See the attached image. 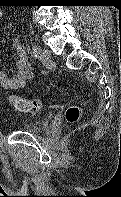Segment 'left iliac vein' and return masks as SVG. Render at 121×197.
Wrapping results in <instances>:
<instances>
[{
    "instance_id": "4c4485c4",
    "label": "left iliac vein",
    "mask_w": 121,
    "mask_h": 197,
    "mask_svg": "<svg viewBox=\"0 0 121 197\" xmlns=\"http://www.w3.org/2000/svg\"><path fill=\"white\" fill-rule=\"evenodd\" d=\"M39 59L43 65H49L52 59L51 52L46 48L41 49L39 52Z\"/></svg>"
}]
</instances>
